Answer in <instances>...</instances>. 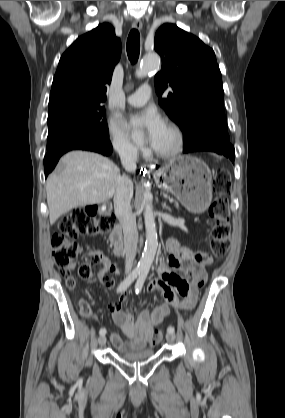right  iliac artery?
I'll return each instance as SVG.
<instances>
[{
  "mask_svg": "<svg viewBox=\"0 0 285 418\" xmlns=\"http://www.w3.org/2000/svg\"><path fill=\"white\" fill-rule=\"evenodd\" d=\"M143 269H134L132 271V273H130L118 286L117 288V292H121L123 290H126L131 283L137 278V276L140 275V273L142 272ZM99 334L100 335H105L106 334V329L105 328H101L99 330Z\"/></svg>",
  "mask_w": 285,
  "mask_h": 418,
  "instance_id": "1",
  "label": "right iliac artery"
}]
</instances>
